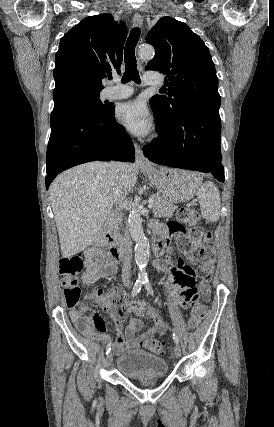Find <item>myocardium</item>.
Listing matches in <instances>:
<instances>
[{
  "label": "myocardium",
  "mask_w": 274,
  "mask_h": 427,
  "mask_svg": "<svg viewBox=\"0 0 274 427\" xmlns=\"http://www.w3.org/2000/svg\"><path fill=\"white\" fill-rule=\"evenodd\" d=\"M161 133L159 131H156L149 139L150 142L152 143H157L161 140Z\"/></svg>",
  "instance_id": "obj_1"
}]
</instances>
